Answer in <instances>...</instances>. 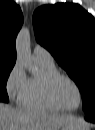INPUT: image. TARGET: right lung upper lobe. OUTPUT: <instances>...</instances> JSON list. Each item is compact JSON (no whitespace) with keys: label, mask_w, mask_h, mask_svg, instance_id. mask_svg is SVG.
Returning a JSON list of instances; mask_svg holds the SVG:
<instances>
[{"label":"right lung upper lobe","mask_w":95,"mask_h":130,"mask_svg":"<svg viewBox=\"0 0 95 130\" xmlns=\"http://www.w3.org/2000/svg\"><path fill=\"white\" fill-rule=\"evenodd\" d=\"M22 23L20 7L14 2L0 0V64H15V39Z\"/></svg>","instance_id":"right-lung-upper-lobe-1"}]
</instances>
